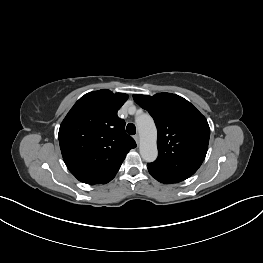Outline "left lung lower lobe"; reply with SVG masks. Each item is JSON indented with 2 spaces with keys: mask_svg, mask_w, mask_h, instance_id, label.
Here are the masks:
<instances>
[{
  "mask_svg": "<svg viewBox=\"0 0 263 263\" xmlns=\"http://www.w3.org/2000/svg\"><path fill=\"white\" fill-rule=\"evenodd\" d=\"M149 170V173L156 179L158 180L159 182H162V183H166V184H169V183H178L180 182V180H175V179H170V178H167V177H164L160 174H157L155 173L154 171Z\"/></svg>",
  "mask_w": 263,
  "mask_h": 263,
  "instance_id": "obj_1",
  "label": "left lung lower lobe"
}]
</instances>
